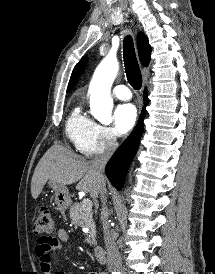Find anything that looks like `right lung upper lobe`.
<instances>
[{
  "label": "right lung upper lobe",
  "mask_w": 215,
  "mask_h": 274,
  "mask_svg": "<svg viewBox=\"0 0 215 274\" xmlns=\"http://www.w3.org/2000/svg\"><path fill=\"white\" fill-rule=\"evenodd\" d=\"M138 52L141 63L143 66H148L150 62L151 47L149 45L147 37L143 33H139L137 37ZM87 58H82L75 66L69 84L67 92H70L78 81L79 76L86 66Z\"/></svg>",
  "instance_id": "right-lung-upper-lobe-1"
}]
</instances>
